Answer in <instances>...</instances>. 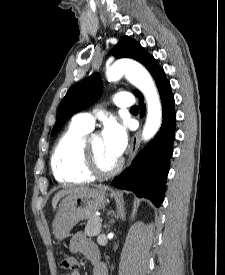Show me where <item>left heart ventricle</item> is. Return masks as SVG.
Returning a JSON list of instances; mask_svg holds the SVG:
<instances>
[{
  "label": "left heart ventricle",
  "mask_w": 225,
  "mask_h": 275,
  "mask_svg": "<svg viewBox=\"0 0 225 275\" xmlns=\"http://www.w3.org/2000/svg\"><path fill=\"white\" fill-rule=\"evenodd\" d=\"M90 149L95 155L98 166L103 170H109L116 165L118 160L113 159L106 151L101 137L90 139Z\"/></svg>",
  "instance_id": "1"
}]
</instances>
